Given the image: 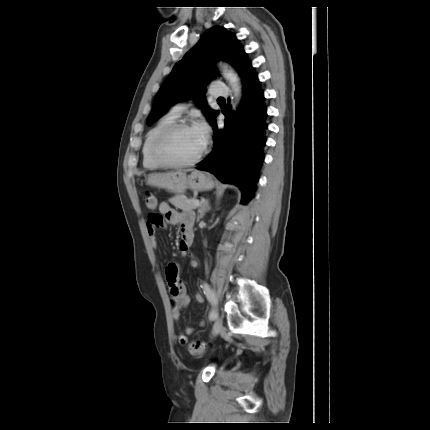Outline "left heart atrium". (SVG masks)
<instances>
[{"mask_svg":"<svg viewBox=\"0 0 430 430\" xmlns=\"http://www.w3.org/2000/svg\"><path fill=\"white\" fill-rule=\"evenodd\" d=\"M193 129L197 133L202 145L206 146L210 134V129L207 123L205 121H200L193 127Z\"/></svg>","mask_w":430,"mask_h":430,"instance_id":"obj_1","label":"left heart atrium"}]
</instances>
